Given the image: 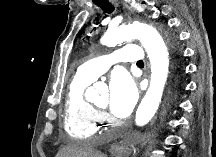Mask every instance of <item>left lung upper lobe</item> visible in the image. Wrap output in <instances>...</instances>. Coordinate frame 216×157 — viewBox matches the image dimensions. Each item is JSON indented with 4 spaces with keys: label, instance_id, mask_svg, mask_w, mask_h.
Instances as JSON below:
<instances>
[{
    "label": "left lung upper lobe",
    "instance_id": "5c2ea615",
    "mask_svg": "<svg viewBox=\"0 0 216 157\" xmlns=\"http://www.w3.org/2000/svg\"><path fill=\"white\" fill-rule=\"evenodd\" d=\"M168 43H169V46H170V49L172 51L173 56H174V52H175V54H177L178 57H180L181 51L177 46L176 37L174 35L168 34Z\"/></svg>",
    "mask_w": 216,
    "mask_h": 157
}]
</instances>
